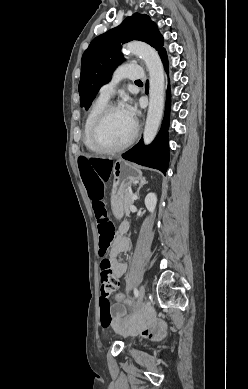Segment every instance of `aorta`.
I'll return each mask as SVG.
<instances>
[{"instance_id":"1","label":"aorta","mask_w":248,"mask_h":389,"mask_svg":"<svg viewBox=\"0 0 248 389\" xmlns=\"http://www.w3.org/2000/svg\"><path fill=\"white\" fill-rule=\"evenodd\" d=\"M126 51L140 56L149 71V107L143 133L144 143L148 145L155 138L163 115L165 86L163 65L157 51L145 43H128Z\"/></svg>"}]
</instances>
